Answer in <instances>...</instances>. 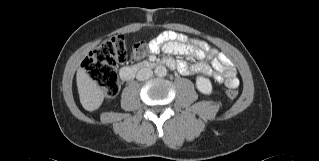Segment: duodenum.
<instances>
[{"label":"duodenum","mask_w":319,"mask_h":161,"mask_svg":"<svg viewBox=\"0 0 319 161\" xmlns=\"http://www.w3.org/2000/svg\"><path fill=\"white\" fill-rule=\"evenodd\" d=\"M167 66L170 69L175 68V62L172 59L166 58L163 60H148L142 63H139L134 66H125L120 69V76L123 81H129L132 79L138 72L142 70L152 69L156 66Z\"/></svg>","instance_id":"duodenum-1"}]
</instances>
